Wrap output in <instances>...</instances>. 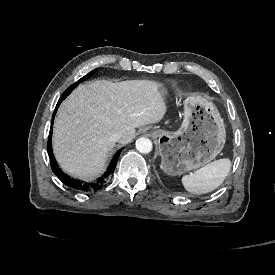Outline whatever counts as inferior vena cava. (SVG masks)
I'll list each match as a JSON object with an SVG mask.
<instances>
[{"instance_id":"602c4592","label":"inferior vena cava","mask_w":275,"mask_h":275,"mask_svg":"<svg viewBox=\"0 0 275 275\" xmlns=\"http://www.w3.org/2000/svg\"><path fill=\"white\" fill-rule=\"evenodd\" d=\"M122 136H123V133L121 131H117L111 134L110 140L112 142H117L122 138Z\"/></svg>"}]
</instances>
